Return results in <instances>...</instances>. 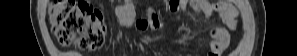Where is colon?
<instances>
[{
  "label": "colon",
  "instance_id": "obj_1",
  "mask_svg": "<svg viewBox=\"0 0 297 56\" xmlns=\"http://www.w3.org/2000/svg\"><path fill=\"white\" fill-rule=\"evenodd\" d=\"M52 32L63 46L93 51L105 43L106 23L101 11L86 0H53L49 7Z\"/></svg>",
  "mask_w": 297,
  "mask_h": 56
}]
</instances>
